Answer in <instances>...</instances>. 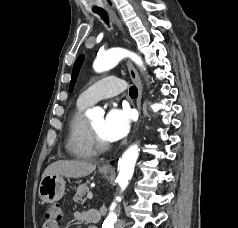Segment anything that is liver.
<instances>
[{
  "label": "liver",
  "mask_w": 238,
  "mask_h": 228,
  "mask_svg": "<svg viewBox=\"0 0 238 228\" xmlns=\"http://www.w3.org/2000/svg\"><path fill=\"white\" fill-rule=\"evenodd\" d=\"M96 165L87 161L58 160L50 164L43 172L42 178L47 175H61L71 178H81L93 173Z\"/></svg>",
  "instance_id": "obj_1"
}]
</instances>
